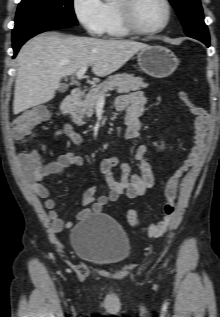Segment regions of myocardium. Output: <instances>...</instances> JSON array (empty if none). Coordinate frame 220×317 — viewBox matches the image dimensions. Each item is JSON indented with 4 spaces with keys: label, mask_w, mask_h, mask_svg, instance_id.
Returning a JSON list of instances; mask_svg holds the SVG:
<instances>
[{
    "label": "myocardium",
    "mask_w": 220,
    "mask_h": 317,
    "mask_svg": "<svg viewBox=\"0 0 220 317\" xmlns=\"http://www.w3.org/2000/svg\"><path fill=\"white\" fill-rule=\"evenodd\" d=\"M138 0H116L115 8L119 20L126 31L138 36H151L163 32L172 20V5L169 0H162L166 8V18L163 24L155 29H142L136 23L134 10Z\"/></svg>",
    "instance_id": "myocardium-1"
}]
</instances>
